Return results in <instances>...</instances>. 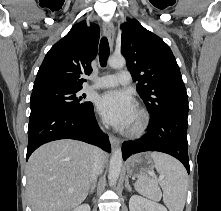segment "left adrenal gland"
Here are the masks:
<instances>
[{"mask_svg":"<svg viewBox=\"0 0 221 211\" xmlns=\"http://www.w3.org/2000/svg\"><path fill=\"white\" fill-rule=\"evenodd\" d=\"M125 188H126L129 192H131V190H132V188H131V186H130V184H129V178H128V176H126V178H125Z\"/></svg>","mask_w":221,"mask_h":211,"instance_id":"left-adrenal-gland-1","label":"left adrenal gland"}]
</instances>
